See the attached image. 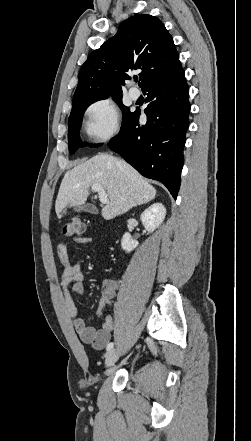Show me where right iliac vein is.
Listing matches in <instances>:
<instances>
[{
    "mask_svg": "<svg viewBox=\"0 0 251 441\" xmlns=\"http://www.w3.org/2000/svg\"><path fill=\"white\" fill-rule=\"evenodd\" d=\"M119 351L118 350H116V349H112V350H110L107 354H106V356H105V367L106 368H109V367H111L112 365H114L115 364V362L118 360V358H119Z\"/></svg>",
    "mask_w": 251,
    "mask_h": 441,
    "instance_id": "63e3f726",
    "label": "right iliac vein"
}]
</instances>
